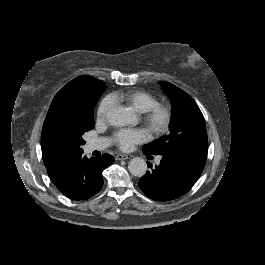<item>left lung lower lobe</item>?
I'll return each instance as SVG.
<instances>
[{"instance_id":"1","label":"left lung lower lobe","mask_w":265,"mask_h":265,"mask_svg":"<svg viewBox=\"0 0 265 265\" xmlns=\"http://www.w3.org/2000/svg\"><path fill=\"white\" fill-rule=\"evenodd\" d=\"M206 158L207 151L196 149L163 154L160 165L146 172L139 181V187L156 201L177 199L187 193L199 179Z\"/></svg>"}]
</instances>
